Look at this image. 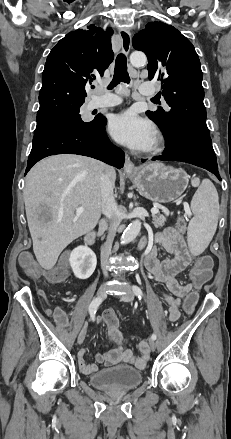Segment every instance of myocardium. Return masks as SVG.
<instances>
[{"label":"myocardium","instance_id":"myocardium-1","mask_svg":"<svg viewBox=\"0 0 231 439\" xmlns=\"http://www.w3.org/2000/svg\"><path fill=\"white\" fill-rule=\"evenodd\" d=\"M163 144H164L163 136L159 132H157L155 134V138H154L153 144L148 148L147 151L150 152V153L159 152L162 149Z\"/></svg>","mask_w":231,"mask_h":439}]
</instances>
